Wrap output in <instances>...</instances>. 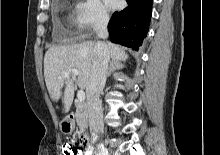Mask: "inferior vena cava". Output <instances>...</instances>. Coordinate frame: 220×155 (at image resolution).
Segmentation results:
<instances>
[{"label":"inferior vena cava","mask_w":220,"mask_h":155,"mask_svg":"<svg viewBox=\"0 0 220 155\" xmlns=\"http://www.w3.org/2000/svg\"><path fill=\"white\" fill-rule=\"evenodd\" d=\"M108 21L109 16L107 14L101 13L98 16L95 31L100 39L108 37ZM109 60L110 54L106 43L97 42L94 47V59L91 66L89 83L86 88L89 127L93 139L101 136L104 132L100 94L105 87Z\"/></svg>","instance_id":"602c4592"}]
</instances>
